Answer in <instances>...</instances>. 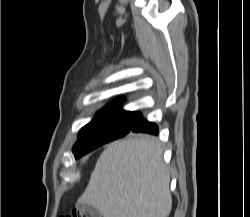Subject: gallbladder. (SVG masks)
I'll return each instance as SVG.
<instances>
[{"label":"gallbladder","mask_w":250,"mask_h":217,"mask_svg":"<svg viewBox=\"0 0 250 217\" xmlns=\"http://www.w3.org/2000/svg\"><path fill=\"white\" fill-rule=\"evenodd\" d=\"M77 209L79 210V212L88 213L91 217H102L100 212L96 208L86 204L78 203Z\"/></svg>","instance_id":"bac80fb5"}]
</instances>
